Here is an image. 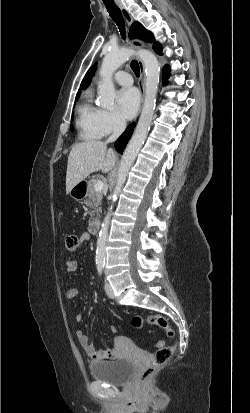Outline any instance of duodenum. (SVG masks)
I'll use <instances>...</instances> for the list:
<instances>
[{
  "instance_id": "obj_1",
  "label": "duodenum",
  "mask_w": 250,
  "mask_h": 413,
  "mask_svg": "<svg viewBox=\"0 0 250 413\" xmlns=\"http://www.w3.org/2000/svg\"><path fill=\"white\" fill-rule=\"evenodd\" d=\"M100 224L101 223H100L99 220L92 221L90 226H89L90 233L93 234V235L97 234L99 232V229H100Z\"/></svg>"
}]
</instances>
